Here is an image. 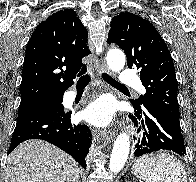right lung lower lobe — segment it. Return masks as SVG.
<instances>
[{
    "mask_svg": "<svg viewBox=\"0 0 196 182\" xmlns=\"http://www.w3.org/2000/svg\"><path fill=\"white\" fill-rule=\"evenodd\" d=\"M72 112L64 110L34 113L17 120L8 154L29 139H42L70 154L84 169L91 146V131L86 125L71 122Z\"/></svg>",
    "mask_w": 196,
    "mask_h": 182,
    "instance_id": "98d812e1",
    "label": "right lung lower lobe"
}]
</instances>
